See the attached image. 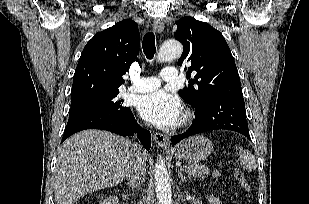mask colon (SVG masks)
I'll list each match as a JSON object with an SVG mask.
<instances>
[{"label": "colon", "mask_w": 309, "mask_h": 204, "mask_svg": "<svg viewBox=\"0 0 309 204\" xmlns=\"http://www.w3.org/2000/svg\"><path fill=\"white\" fill-rule=\"evenodd\" d=\"M235 177L236 179L239 181V183L241 184V186L245 189V190H249V184L245 178V175L243 173V171H241L240 169H236L235 170Z\"/></svg>", "instance_id": "obj_1"}]
</instances>
